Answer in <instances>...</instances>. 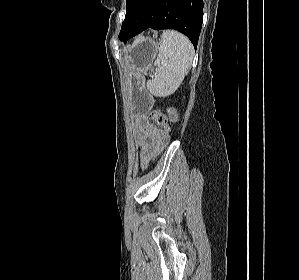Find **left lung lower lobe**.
Returning a JSON list of instances; mask_svg holds the SVG:
<instances>
[{
  "label": "left lung lower lobe",
  "instance_id": "left-lung-lower-lobe-1",
  "mask_svg": "<svg viewBox=\"0 0 299 280\" xmlns=\"http://www.w3.org/2000/svg\"><path fill=\"white\" fill-rule=\"evenodd\" d=\"M203 19V0H133L119 39L126 41L147 28L175 29L197 47Z\"/></svg>",
  "mask_w": 299,
  "mask_h": 280
}]
</instances>
